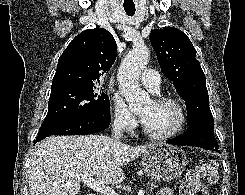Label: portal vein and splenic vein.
I'll use <instances>...</instances> for the list:
<instances>
[{
    "instance_id": "portal-vein-and-splenic-vein-1",
    "label": "portal vein and splenic vein",
    "mask_w": 245,
    "mask_h": 195,
    "mask_svg": "<svg viewBox=\"0 0 245 195\" xmlns=\"http://www.w3.org/2000/svg\"><path fill=\"white\" fill-rule=\"evenodd\" d=\"M72 176L74 178H76L77 180L82 181L89 188H91L97 192H100L104 195H117V193L112 188H110L104 184H101L99 181L95 180L92 177H86V176H82L79 174L72 175ZM138 195H144V190L141 189L138 192Z\"/></svg>"
}]
</instances>
